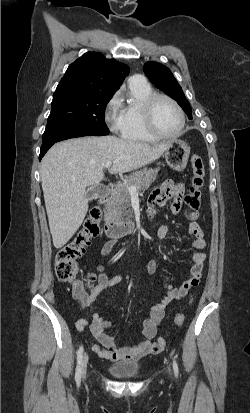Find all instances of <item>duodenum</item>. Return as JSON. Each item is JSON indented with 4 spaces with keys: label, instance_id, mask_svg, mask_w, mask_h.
<instances>
[{
    "label": "duodenum",
    "instance_id": "410a0bca",
    "mask_svg": "<svg viewBox=\"0 0 250 413\" xmlns=\"http://www.w3.org/2000/svg\"><path fill=\"white\" fill-rule=\"evenodd\" d=\"M114 193L113 185H108L104 194L101 196L100 202L104 203ZM103 231L109 238H117L127 234H131L136 231V224L133 221H113L109 218H105L103 225Z\"/></svg>",
    "mask_w": 250,
    "mask_h": 413
}]
</instances>
